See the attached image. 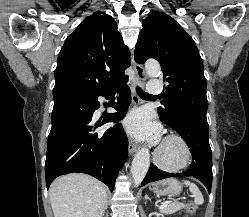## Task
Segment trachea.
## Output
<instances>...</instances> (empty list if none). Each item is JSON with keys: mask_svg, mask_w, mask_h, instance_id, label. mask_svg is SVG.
I'll return each instance as SVG.
<instances>
[{"mask_svg": "<svg viewBox=\"0 0 249 217\" xmlns=\"http://www.w3.org/2000/svg\"><path fill=\"white\" fill-rule=\"evenodd\" d=\"M136 91L140 97H151L152 96L149 93H146L145 91L140 89L139 87L136 88Z\"/></svg>", "mask_w": 249, "mask_h": 217, "instance_id": "1", "label": "trachea"}]
</instances>
